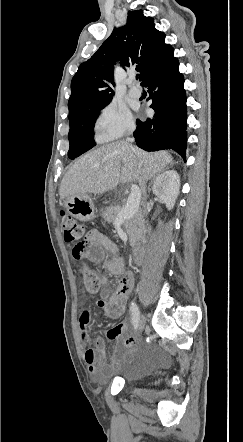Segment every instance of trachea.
Here are the masks:
<instances>
[{
  "label": "trachea",
  "instance_id": "1",
  "mask_svg": "<svg viewBox=\"0 0 243 442\" xmlns=\"http://www.w3.org/2000/svg\"><path fill=\"white\" fill-rule=\"evenodd\" d=\"M136 79L138 80V75L136 76Z\"/></svg>",
  "mask_w": 243,
  "mask_h": 442
}]
</instances>
